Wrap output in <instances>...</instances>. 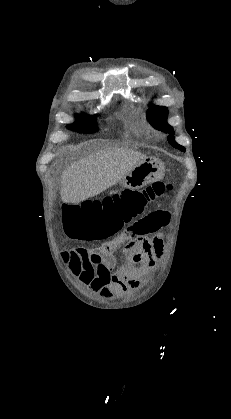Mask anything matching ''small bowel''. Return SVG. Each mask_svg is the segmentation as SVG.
I'll use <instances>...</instances> for the list:
<instances>
[{
	"instance_id": "small-bowel-1",
	"label": "small bowel",
	"mask_w": 231,
	"mask_h": 419,
	"mask_svg": "<svg viewBox=\"0 0 231 419\" xmlns=\"http://www.w3.org/2000/svg\"><path fill=\"white\" fill-rule=\"evenodd\" d=\"M169 222L168 212L149 214L127 227L112 241L95 249L72 248L64 252V260L74 277L102 297H121L142 284V276L154 269L164 255V242L159 234L150 237ZM121 250L124 263L117 264L114 252Z\"/></svg>"
}]
</instances>
